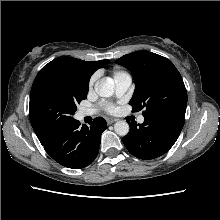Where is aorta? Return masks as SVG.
Instances as JSON below:
<instances>
[{
    "label": "aorta",
    "mask_w": 220,
    "mask_h": 220,
    "mask_svg": "<svg viewBox=\"0 0 220 220\" xmlns=\"http://www.w3.org/2000/svg\"><path fill=\"white\" fill-rule=\"evenodd\" d=\"M95 92L101 97H111L114 94V85L111 82L102 80L96 82ZM129 124L126 121H118L114 124V131L119 136H126L129 132Z\"/></svg>",
    "instance_id": "aorta-1"
}]
</instances>
